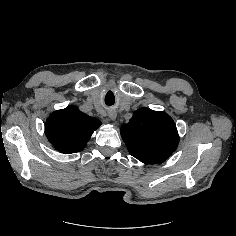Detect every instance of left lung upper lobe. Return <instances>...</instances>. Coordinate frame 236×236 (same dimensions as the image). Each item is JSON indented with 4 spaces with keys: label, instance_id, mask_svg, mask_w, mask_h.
<instances>
[{
    "label": "left lung upper lobe",
    "instance_id": "obj_1",
    "mask_svg": "<svg viewBox=\"0 0 236 236\" xmlns=\"http://www.w3.org/2000/svg\"><path fill=\"white\" fill-rule=\"evenodd\" d=\"M120 130L129 153L146 164L162 163L179 142L172 118L165 112L148 108L135 111L129 123L122 125Z\"/></svg>",
    "mask_w": 236,
    "mask_h": 236
}]
</instances>
